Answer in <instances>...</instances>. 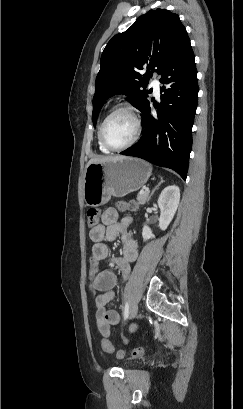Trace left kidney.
I'll return each mask as SVG.
<instances>
[{"instance_id":"left-kidney-1","label":"left kidney","mask_w":243,"mask_h":409,"mask_svg":"<svg viewBox=\"0 0 243 409\" xmlns=\"http://www.w3.org/2000/svg\"><path fill=\"white\" fill-rule=\"evenodd\" d=\"M180 200V189L178 186L171 185L164 188L158 198V206L160 208L159 228L166 230L172 221ZM144 241L154 238L152 230L148 226H144L142 230Z\"/></svg>"}]
</instances>
